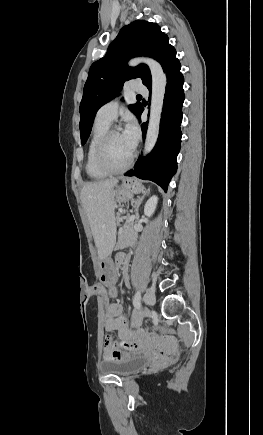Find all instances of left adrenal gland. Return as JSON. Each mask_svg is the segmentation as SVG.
I'll list each match as a JSON object with an SVG mask.
<instances>
[{
	"label": "left adrenal gland",
	"mask_w": 263,
	"mask_h": 435,
	"mask_svg": "<svg viewBox=\"0 0 263 435\" xmlns=\"http://www.w3.org/2000/svg\"><path fill=\"white\" fill-rule=\"evenodd\" d=\"M149 191H150V189H145V190L142 192V195L139 196V197H137L136 200H134L133 208H134V210H135V214H136V221L139 220V207H140V205H141L143 199L145 198V196L149 194Z\"/></svg>",
	"instance_id": "1"
}]
</instances>
